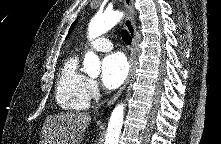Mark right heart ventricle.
I'll list each match as a JSON object with an SVG mask.
<instances>
[{"label":"right heart ventricle","instance_id":"obj_1","mask_svg":"<svg viewBox=\"0 0 221 144\" xmlns=\"http://www.w3.org/2000/svg\"><path fill=\"white\" fill-rule=\"evenodd\" d=\"M88 78L80 71L76 56L66 60L61 68L57 86L56 101L66 110H84L89 105L86 92Z\"/></svg>","mask_w":221,"mask_h":144}]
</instances>
